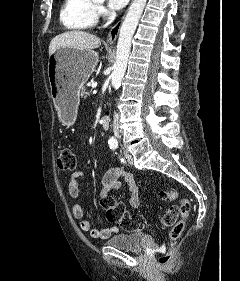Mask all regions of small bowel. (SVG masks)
<instances>
[{"label": "small bowel", "mask_w": 240, "mask_h": 281, "mask_svg": "<svg viewBox=\"0 0 240 281\" xmlns=\"http://www.w3.org/2000/svg\"><path fill=\"white\" fill-rule=\"evenodd\" d=\"M82 177L83 172L81 170L75 171L71 175L68 184V190L72 198H78L80 195L78 180ZM121 178L128 186L130 192V205L132 207H137L139 205V192L134 176L131 173L125 172L124 170L116 166L109 167L104 173L101 181L99 199L102 200L106 198L111 191L119 189L122 186ZM72 215L76 220L79 221L80 229L96 239H106L112 233L119 230V227L117 226L104 229H98L94 227L89 220L84 218V209L79 203L73 205Z\"/></svg>", "instance_id": "obj_1"}]
</instances>
